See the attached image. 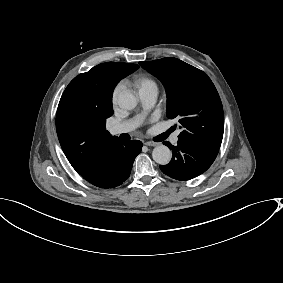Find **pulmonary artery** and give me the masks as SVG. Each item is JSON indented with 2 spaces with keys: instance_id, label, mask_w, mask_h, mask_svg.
<instances>
[{
  "instance_id": "1",
  "label": "pulmonary artery",
  "mask_w": 283,
  "mask_h": 283,
  "mask_svg": "<svg viewBox=\"0 0 283 283\" xmlns=\"http://www.w3.org/2000/svg\"><path fill=\"white\" fill-rule=\"evenodd\" d=\"M158 89L156 87H149L138 92L139 101L146 107H151L157 99ZM141 122V117L136 116L132 119L126 120L124 122L115 124L113 126L108 127V132L115 136L123 133L130 132L134 128H136ZM180 131L176 132L174 135L179 136Z\"/></svg>"
}]
</instances>
